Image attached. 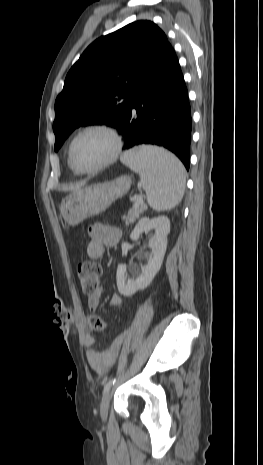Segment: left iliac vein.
Listing matches in <instances>:
<instances>
[{
	"label": "left iliac vein",
	"instance_id": "4c4485c4",
	"mask_svg": "<svg viewBox=\"0 0 263 465\" xmlns=\"http://www.w3.org/2000/svg\"><path fill=\"white\" fill-rule=\"evenodd\" d=\"M110 389L106 391L103 395L101 406H100V414L103 420L107 418L108 410H109V402H110Z\"/></svg>",
	"mask_w": 263,
	"mask_h": 465
}]
</instances>
